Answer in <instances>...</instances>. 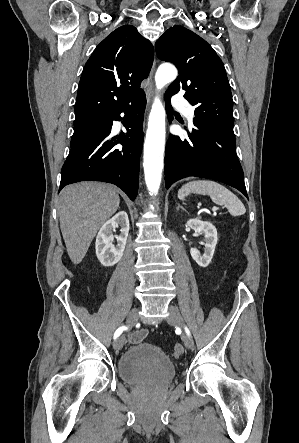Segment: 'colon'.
Returning <instances> with one entry per match:
<instances>
[{"label": "colon", "instance_id": "obj_1", "mask_svg": "<svg viewBox=\"0 0 299 443\" xmlns=\"http://www.w3.org/2000/svg\"><path fill=\"white\" fill-rule=\"evenodd\" d=\"M183 354H184V347H183V345L182 344H176L173 347V355L178 358V357H181Z\"/></svg>", "mask_w": 299, "mask_h": 443}]
</instances>
